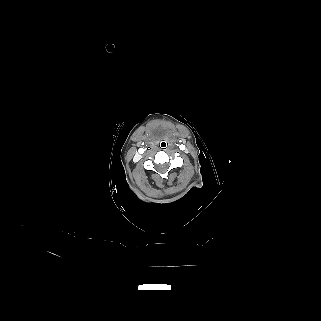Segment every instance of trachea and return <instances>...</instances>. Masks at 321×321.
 <instances>
[{"mask_svg": "<svg viewBox=\"0 0 321 321\" xmlns=\"http://www.w3.org/2000/svg\"><path fill=\"white\" fill-rule=\"evenodd\" d=\"M159 145H160V147L163 148V149L166 148V146H167L166 143H165V141H163V140L160 141Z\"/></svg>", "mask_w": 321, "mask_h": 321, "instance_id": "obj_1", "label": "trachea"}]
</instances>
